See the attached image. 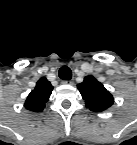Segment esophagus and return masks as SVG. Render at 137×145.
<instances>
[{
  "label": "esophagus",
  "instance_id": "34e87169",
  "mask_svg": "<svg viewBox=\"0 0 137 145\" xmlns=\"http://www.w3.org/2000/svg\"><path fill=\"white\" fill-rule=\"evenodd\" d=\"M62 83L65 84V85H73L72 80H63Z\"/></svg>",
  "mask_w": 137,
  "mask_h": 145
}]
</instances>
